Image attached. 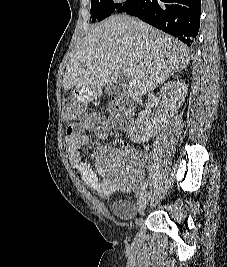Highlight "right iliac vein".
Instances as JSON below:
<instances>
[{"instance_id":"63e3f726","label":"right iliac vein","mask_w":227,"mask_h":267,"mask_svg":"<svg viewBox=\"0 0 227 267\" xmlns=\"http://www.w3.org/2000/svg\"><path fill=\"white\" fill-rule=\"evenodd\" d=\"M152 197V192H145L138 201L137 213L141 215Z\"/></svg>"}]
</instances>
